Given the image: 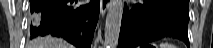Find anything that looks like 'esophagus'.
<instances>
[{"label":"esophagus","instance_id":"34e87169","mask_svg":"<svg viewBox=\"0 0 213 48\" xmlns=\"http://www.w3.org/2000/svg\"><path fill=\"white\" fill-rule=\"evenodd\" d=\"M111 4V0H101L100 2V14L103 17Z\"/></svg>","mask_w":213,"mask_h":48}]
</instances>
